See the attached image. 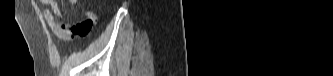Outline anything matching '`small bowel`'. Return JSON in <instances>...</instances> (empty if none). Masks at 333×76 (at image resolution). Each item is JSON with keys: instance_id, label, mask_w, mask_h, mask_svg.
Returning <instances> with one entry per match:
<instances>
[{"instance_id": "1", "label": "small bowel", "mask_w": 333, "mask_h": 76, "mask_svg": "<svg viewBox=\"0 0 333 76\" xmlns=\"http://www.w3.org/2000/svg\"><path fill=\"white\" fill-rule=\"evenodd\" d=\"M44 5L43 15L51 30L63 39H86L87 34L95 25V15L91 11L86 12V20L71 24L63 22L61 19V12L57 1L55 0H42ZM73 6L79 5V0H69Z\"/></svg>"}]
</instances>
